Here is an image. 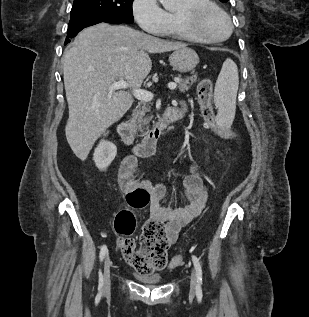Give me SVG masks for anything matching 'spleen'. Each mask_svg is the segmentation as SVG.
Listing matches in <instances>:
<instances>
[{"instance_id": "obj_1", "label": "spleen", "mask_w": 309, "mask_h": 317, "mask_svg": "<svg viewBox=\"0 0 309 317\" xmlns=\"http://www.w3.org/2000/svg\"><path fill=\"white\" fill-rule=\"evenodd\" d=\"M238 86L237 65L228 58L223 63L214 90V103L217 108L216 122L220 127H229L234 120Z\"/></svg>"}]
</instances>
